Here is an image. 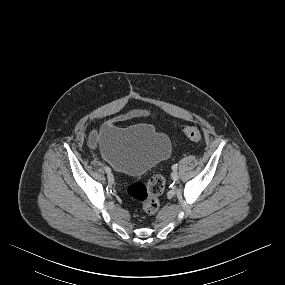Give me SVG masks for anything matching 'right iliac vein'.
Segmentation results:
<instances>
[{"mask_svg":"<svg viewBox=\"0 0 285 285\" xmlns=\"http://www.w3.org/2000/svg\"><path fill=\"white\" fill-rule=\"evenodd\" d=\"M107 179H108L109 182H113L114 177H113V175L111 173H108L107 174Z\"/></svg>","mask_w":285,"mask_h":285,"instance_id":"right-iliac-vein-1","label":"right iliac vein"}]
</instances>
